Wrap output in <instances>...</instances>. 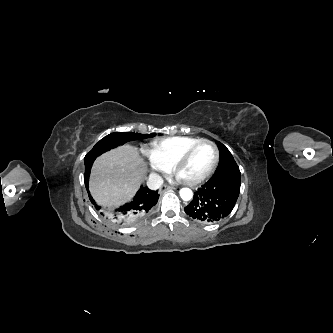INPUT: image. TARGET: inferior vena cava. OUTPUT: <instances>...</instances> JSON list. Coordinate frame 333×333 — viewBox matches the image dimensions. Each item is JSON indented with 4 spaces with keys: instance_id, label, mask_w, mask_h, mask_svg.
Instances as JSON below:
<instances>
[{
    "instance_id": "obj_1",
    "label": "inferior vena cava",
    "mask_w": 333,
    "mask_h": 333,
    "mask_svg": "<svg viewBox=\"0 0 333 333\" xmlns=\"http://www.w3.org/2000/svg\"><path fill=\"white\" fill-rule=\"evenodd\" d=\"M163 184V179L158 174H150L147 180V185L151 190H157Z\"/></svg>"
}]
</instances>
